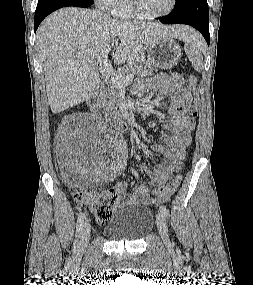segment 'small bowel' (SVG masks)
I'll use <instances>...</instances> for the list:
<instances>
[{
    "instance_id": "obj_1",
    "label": "small bowel",
    "mask_w": 253,
    "mask_h": 285,
    "mask_svg": "<svg viewBox=\"0 0 253 285\" xmlns=\"http://www.w3.org/2000/svg\"><path fill=\"white\" fill-rule=\"evenodd\" d=\"M184 80L180 74H158L151 78L141 79L134 87V95L144 97L151 93H158L168 97V112L172 116L171 121L162 124V128L169 134L163 138V144H154L152 149L155 153L165 158L152 170L144 165L143 170L149 176L155 186H160L157 190L150 192L148 186L137 182V173L132 170V177L136 181L134 185L135 194L128 196L129 203L150 205L152 203L167 202L175 191L162 192L159 189L166 185L173 173L178 171L186 157V149L190 145L191 132L194 129L195 121L185 114V104L189 100L190 94L183 87ZM64 150L67 147L64 146ZM126 183L119 181L114 189L124 193Z\"/></svg>"
}]
</instances>
